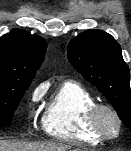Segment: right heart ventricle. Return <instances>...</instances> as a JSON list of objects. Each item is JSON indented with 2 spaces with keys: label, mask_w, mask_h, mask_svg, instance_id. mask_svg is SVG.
Returning a JSON list of instances; mask_svg holds the SVG:
<instances>
[{
  "label": "right heart ventricle",
  "mask_w": 131,
  "mask_h": 151,
  "mask_svg": "<svg viewBox=\"0 0 131 151\" xmlns=\"http://www.w3.org/2000/svg\"><path fill=\"white\" fill-rule=\"evenodd\" d=\"M96 103L93 95L80 83L67 80L51 94L42 118L50 137L66 142L96 145L103 139L88 126L87 114Z\"/></svg>",
  "instance_id": "1"
}]
</instances>
